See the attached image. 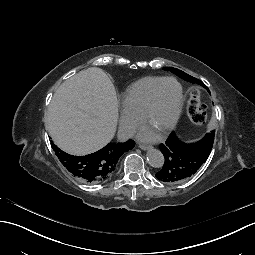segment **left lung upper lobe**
I'll use <instances>...</instances> for the list:
<instances>
[{
    "mask_svg": "<svg viewBox=\"0 0 255 255\" xmlns=\"http://www.w3.org/2000/svg\"><path fill=\"white\" fill-rule=\"evenodd\" d=\"M164 70L171 71V72L175 73L177 76H179V77H181V78H183V79H185V80H187V81H189V82H191V83H198V84L204 86V87L208 90V92L210 93L209 89L206 87V85H205L203 82H201L200 80H198V79H196V78H194V77H192V76H190V75L184 73L183 71L178 70V69H176V68H171V67L164 68ZM173 133H174V132H172L171 135H172ZM214 134H215V131H212L211 133L206 134V136L208 137V139H209V141H210V152H211L212 146H213ZM163 155H164V154H163ZM164 156H165V155H164ZM206 160H207V158H206ZM200 167H201V166H200ZM181 182H182V181H181ZM178 183H179V182H178Z\"/></svg>",
    "mask_w": 255,
    "mask_h": 255,
    "instance_id": "5c2ea615",
    "label": "left lung upper lobe"
}]
</instances>
